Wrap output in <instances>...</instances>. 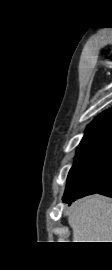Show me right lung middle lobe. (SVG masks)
Instances as JSON below:
<instances>
[{
    "label": "right lung middle lobe",
    "mask_w": 112,
    "mask_h": 270,
    "mask_svg": "<svg viewBox=\"0 0 112 270\" xmlns=\"http://www.w3.org/2000/svg\"><path fill=\"white\" fill-rule=\"evenodd\" d=\"M112 145V126L100 127L85 133L76 160L68 178L63 201L75 200L85 192L82 178L91 172L102 161Z\"/></svg>",
    "instance_id": "dd1d6c3e"
}]
</instances>
